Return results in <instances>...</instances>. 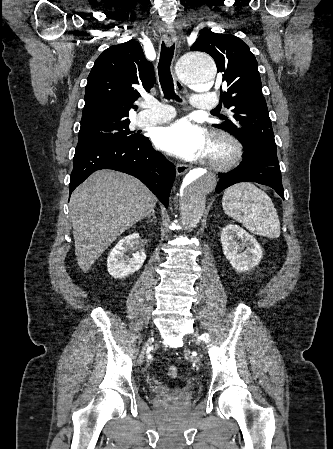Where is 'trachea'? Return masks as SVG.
Returning a JSON list of instances; mask_svg holds the SVG:
<instances>
[{
  "label": "trachea",
  "mask_w": 333,
  "mask_h": 449,
  "mask_svg": "<svg viewBox=\"0 0 333 449\" xmlns=\"http://www.w3.org/2000/svg\"><path fill=\"white\" fill-rule=\"evenodd\" d=\"M174 55V44L167 47L165 43H162L160 59L158 63V75L161 88L165 99H175L181 101L176 95L174 90V82L170 71L171 61ZM214 111V110H212Z\"/></svg>",
  "instance_id": "obj_1"
}]
</instances>
